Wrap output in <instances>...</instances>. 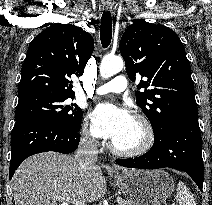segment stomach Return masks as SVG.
<instances>
[{
  "label": "stomach",
  "mask_w": 212,
  "mask_h": 205,
  "mask_svg": "<svg viewBox=\"0 0 212 205\" xmlns=\"http://www.w3.org/2000/svg\"><path fill=\"white\" fill-rule=\"evenodd\" d=\"M114 180L133 205H162L174 190L173 178L162 170H130Z\"/></svg>",
  "instance_id": "obj_1"
}]
</instances>
